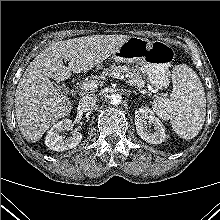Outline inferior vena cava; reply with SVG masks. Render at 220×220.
Returning a JSON list of instances; mask_svg holds the SVG:
<instances>
[{"label": "inferior vena cava", "mask_w": 220, "mask_h": 220, "mask_svg": "<svg viewBox=\"0 0 220 220\" xmlns=\"http://www.w3.org/2000/svg\"><path fill=\"white\" fill-rule=\"evenodd\" d=\"M98 97L95 94H88L82 97L79 101V108L86 112L96 107Z\"/></svg>", "instance_id": "inferior-vena-cava-1"}]
</instances>
